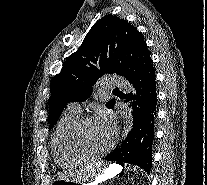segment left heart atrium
<instances>
[{
    "instance_id": "left-heart-atrium-1",
    "label": "left heart atrium",
    "mask_w": 207,
    "mask_h": 185,
    "mask_svg": "<svg viewBox=\"0 0 207 185\" xmlns=\"http://www.w3.org/2000/svg\"><path fill=\"white\" fill-rule=\"evenodd\" d=\"M95 120L99 125L105 128L108 132H110L111 134L114 133L116 128V121L113 113L110 110L106 108L100 109L98 111Z\"/></svg>"
}]
</instances>
